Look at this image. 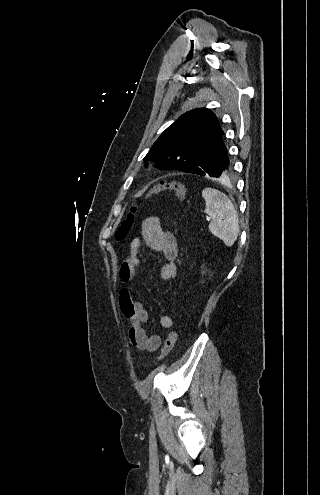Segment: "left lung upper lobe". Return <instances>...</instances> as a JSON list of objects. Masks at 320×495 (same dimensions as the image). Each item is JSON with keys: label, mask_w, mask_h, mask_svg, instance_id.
<instances>
[{"label": "left lung upper lobe", "mask_w": 320, "mask_h": 495, "mask_svg": "<svg viewBox=\"0 0 320 495\" xmlns=\"http://www.w3.org/2000/svg\"><path fill=\"white\" fill-rule=\"evenodd\" d=\"M223 134L210 109H193L180 116L160 135L144 160L155 161L154 166L160 170L184 171L198 162Z\"/></svg>", "instance_id": "1"}]
</instances>
